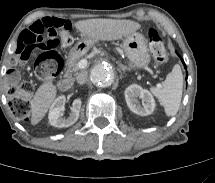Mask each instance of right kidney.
I'll use <instances>...</instances> for the list:
<instances>
[{
  "mask_svg": "<svg viewBox=\"0 0 215 183\" xmlns=\"http://www.w3.org/2000/svg\"><path fill=\"white\" fill-rule=\"evenodd\" d=\"M65 103H66L65 96H59L53 102L48 115L49 123L52 126H55L58 128L69 127L78 120L79 112L82 104L81 99L78 98L73 101V104L71 107V113L68 118L63 117Z\"/></svg>",
  "mask_w": 215,
  "mask_h": 183,
  "instance_id": "1",
  "label": "right kidney"
}]
</instances>
